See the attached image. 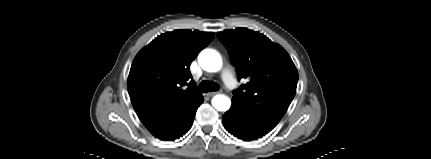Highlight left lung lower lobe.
<instances>
[{"mask_svg": "<svg viewBox=\"0 0 431 159\" xmlns=\"http://www.w3.org/2000/svg\"><path fill=\"white\" fill-rule=\"evenodd\" d=\"M278 122L247 113L232 103L223 115V125L233 136L244 141L260 138L271 131Z\"/></svg>", "mask_w": 431, "mask_h": 159, "instance_id": "left-lung-lower-lobe-1", "label": "left lung lower lobe"}]
</instances>
